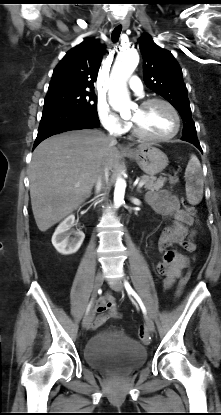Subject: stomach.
<instances>
[{
  "instance_id": "obj_1",
  "label": "stomach",
  "mask_w": 221,
  "mask_h": 415,
  "mask_svg": "<svg viewBox=\"0 0 221 415\" xmlns=\"http://www.w3.org/2000/svg\"><path fill=\"white\" fill-rule=\"evenodd\" d=\"M125 155L135 160L141 170L150 176L162 172L168 165L166 154L151 144L127 151Z\"/></svg>"
}]
</instances>
